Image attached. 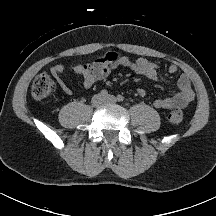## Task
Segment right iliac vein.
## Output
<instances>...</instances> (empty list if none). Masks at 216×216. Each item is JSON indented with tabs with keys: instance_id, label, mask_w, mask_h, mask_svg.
I'll use <instances>...</instances> for the list:
<instances>
[{
	"instance_id": "1",
	"label": "right iliac vein",
	"mask_w": 216,
	"mask_h": 216,
	"mask_svg": "<svg viewBox=\"0 0 216 216\" xmlns=\"http://www.w3.org/2000/svg\"><path fill=\"white\" fill-rule=\"evenodd\" d=\"M91 102L93 106L99 107L104 103V98L102 97V95L98 94L92 98Z\"/></svg>"
}]
</instances>
